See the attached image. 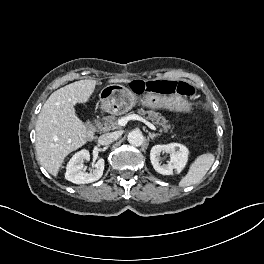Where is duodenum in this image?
I'll return each mask as SVG.
<instances>
[{
    "label": "duodenum",
    "instance_id": "1",
    "mask_svg": "<svg viewBox=\"0 0 264 264\" xmlns=\"http://www.w3.org/2000/svg\"><path fill=\"white\" fill-rule=\"evenodd\" d=\"M94 133H95V128H94V126L91 124V125H89L88 130H87V137H88L89 139H92V138L94 137Z\"/></svg>",
    "mask_w": 264,
    "mask_h": 264
}]
</instances>
